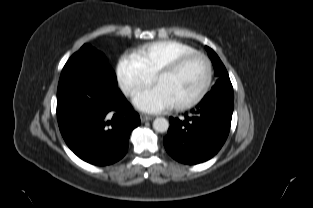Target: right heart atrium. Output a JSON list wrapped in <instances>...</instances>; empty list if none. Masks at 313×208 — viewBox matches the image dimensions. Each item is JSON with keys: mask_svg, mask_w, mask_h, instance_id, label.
Segmentation results:
<instances>
[{"mask_svg": "<svg viewBox=\"0 0 313 208\" xmlns=\"http://www.w3.org/2000/svg\"><path fill=\"white\" fill-rule=\"evenodd\" d=\"M116 76L122 92L128 96L154 80V75L146 69L135 54L124 55L120 58Z\"/></svg>", "mask_w": 313, "mask_h": 208, "instance_id": "d8ad5b80", "label": "right heart atrium"}]
</instances>
